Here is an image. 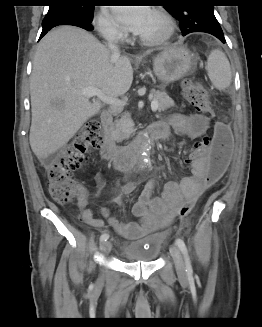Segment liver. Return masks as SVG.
<instances>
[{"label": "liver", "mask_w": 262, "mask_h": 327, "mask_svg": "<svg viewBox=\"0 0 262 327\" xmlns=\"http://www.w3.org/2000/svg\"><path fill=\"white\" fill-rule=\"evenodd\" d=\"M129 57H113L92 34L72 26L50 31L39 43L30 81L32 122L29 141L43 161L65 146L102 108L81 91L92 87L118 98L131 87Z\"/></svg>", "instance_id": "6515ba94"}]
</instances>
